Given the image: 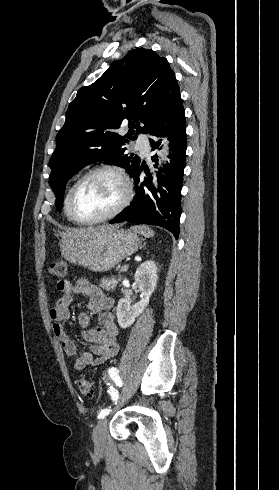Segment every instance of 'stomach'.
Listing matches in <instances>:
<instances>
[{
  "instance_id": "1",
  "label": "stomach",
  "mask_w": 279,
  "mask_h": 490,
  "mask_svg": "<svg viewBox=\"0 0 279 490\" xmlns=\"http://www.w3.org/2000/svg\"><path fill=\"white\" fill-rule=\"evenodd\" d=\"M60 254L74 266L90 272H109L124 258L132 256L140 246V238L131 230H111L106 234H91L84 238L62 236Z\"/></svg>"
}]
</instances>
